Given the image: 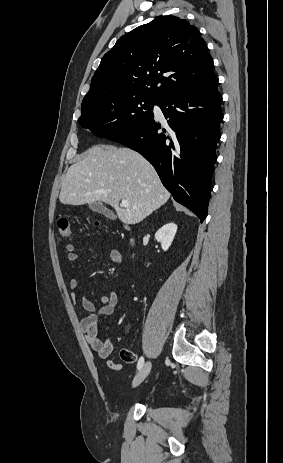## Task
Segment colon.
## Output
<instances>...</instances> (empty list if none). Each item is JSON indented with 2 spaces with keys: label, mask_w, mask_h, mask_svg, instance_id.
<instances>
[{
  "label": "colon",
  "mask_w": 283,
  "mask_h": 463,
  "mask_svg": "<svg viewBox=\"0 0 283 463\" xmlns=\"http://www.w3.org/2000/svg\"><path fill=\"white\" fill-rule=\"evenodd\" d=\"M57 225H58V232L61 237L68 238L71 236V233H72L71 224L67 218H60L58 220ZM121 356H122V359L128 363H132L136 359L135 353L128 349H123L121 351Z\"/></svg>",
  "instance_id": "5ec220e1"
}]
</instances>
